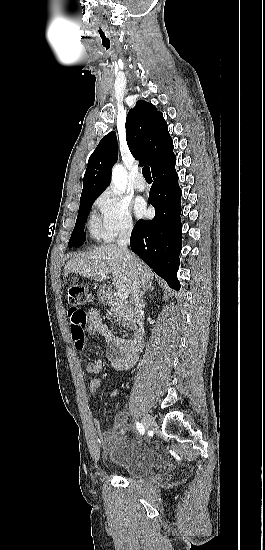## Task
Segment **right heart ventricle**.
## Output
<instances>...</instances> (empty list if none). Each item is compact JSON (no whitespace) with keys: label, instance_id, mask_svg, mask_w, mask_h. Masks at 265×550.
Masks as SVG:
<instances>
[{"label":"right heart ventricle","instance_id":"e07e8e85","mask_svg":"<svg viewBox=\"0 0 265 550\" xmlns=\"http://www.w3.org/2000/svg\"><path fill=\"white\" fill-rule=\"evenodd\" d=\"M89 231L93 238L95 239H105L102 229H101V221L98 217L95 215H92L89 221ZM106 240V239H105Z\"/></svg>","mask_w":265,"mask_h":550}]
</instances>
